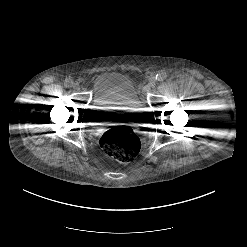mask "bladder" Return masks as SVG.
<instances>
[{"instance_id":"obj_1","label":"bladder","mask_w":247,"mask_h":247,"mask_svg":"<svg viewBox=\"0 0 247 247\" xmlns=\"http://www.w3.org/2000/svg\"><path fill=\"white\" fill-rule=\"evenodd\" d=\"M92 90L94 121H131L140 116V98L128 76L116 72L101 73L94 78Z\"/></svg>"}]
</instances>
